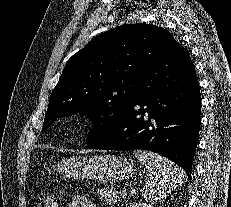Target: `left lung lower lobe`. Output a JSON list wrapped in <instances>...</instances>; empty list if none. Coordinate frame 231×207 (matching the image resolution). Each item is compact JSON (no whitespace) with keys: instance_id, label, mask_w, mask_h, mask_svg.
<instances>
[{"instance_id":"obj_1","label":"left lung lower lobe","mask_w":231,"mask_h":207,"mask_svg":"<svg viewBox=\"0 0 231 207\" xmlns=\"http://www.w3.org/2000/svg\"><path fill=\"white\" fill-rule=\"evenodd\" d=\"M140 92L103 150H149L182 167L191 179L199 138L201 95L189 52L177 41L140 79Z\"/></svg>"}]
</instances>
